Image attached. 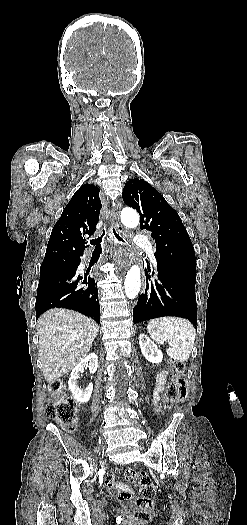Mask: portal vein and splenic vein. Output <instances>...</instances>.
<instances>
[{
  "label": "portal vein and splenic vein",
  "mask_w": 247,
  "mask_h": 525,
  "mask_svg": "<svg viewBox=\"0 0 247 525\" xmlns=\"http://www.w3.org/2000/svg\"><path fill=\"white\" fill-rule=\"evenodd\" d=\"M169 346H172L173 340H168Z\"/></svg>",
  "instance_id": "18ae733b"
}]
</instances>
